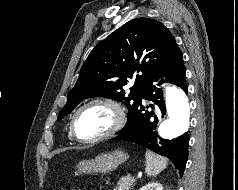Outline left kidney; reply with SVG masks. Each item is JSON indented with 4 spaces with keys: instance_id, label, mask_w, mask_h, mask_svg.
<instances>
[{
    "instance_id": "obj_1",
    "label": "left kidney",
    "mask_w": 238,
    "mask_h": 190,
    "mask_svg": "<svg viewBox=\"0 0 238 190\" xmlns=\"http://www.w3.org/2000/svg\"><path fill=\"white\" fill-rule=\"evenodd\" d=\"M139 190H163V187L160 183H148L147 185L143 186Z\"/></svg>"
}]
</instances>
